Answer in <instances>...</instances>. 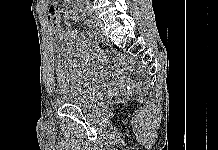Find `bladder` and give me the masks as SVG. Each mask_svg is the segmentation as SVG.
<instances>
[{
  "instance_id": "31cf9c89",
  "label": "bladder",
  "mask_w": 218,
  "mask_h": 150,
  "mask_svg": "<svg viewBox=\"0 0 218 150\" xmlns=\"http://www.w3.org/2000/svg\"><path fill=\"white\" fill-rule=\"evenodd\" d=\"M79 53L59 54V69L57 70V96L69 105L87 108L94 98L95 89L92 86L93 74L86 69Z\"/></svg>"
}]
</instances>
